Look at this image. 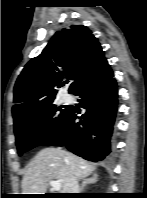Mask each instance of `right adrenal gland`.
<instances>
[{
	"label": "right adrenal gland",
	"mask_w": 147,
	"mask_h": 198,
	"mask_svg": "<svg viewBox=\"0 0 147 198\" xmlns=\"http://www.w3.org/2000/svg\"><path fill=\"white\" fill-rule=\"evenodd\" d=\"M98 180V175L96 173H93L91 175V177L89 178H85L83 181H82V184L80 186V189H79V193H82V191L84 190V187L87 185V184H94L96 183Z\"/></svg>",
	"instance_id": "obj_1"
}]
</instances>
